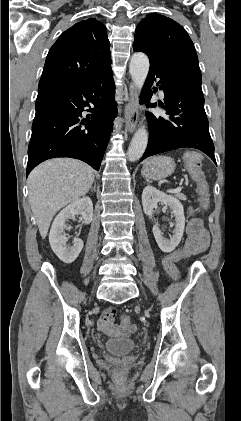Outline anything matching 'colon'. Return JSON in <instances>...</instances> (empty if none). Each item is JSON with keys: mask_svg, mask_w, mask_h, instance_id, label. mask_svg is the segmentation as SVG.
I'll use <instances>...</instances> for the list:
<instances>
[{"mask_svg": "<svg viewBox=\"0 0 241 421\" xmlns=\"http://www.w3.org/2000/svg\"><path fill=\"white\" fill-rule=\"evenodd\" d=\"M202 157L198 152H189L185 157V165L192 177L197 182V193L201 208H205L209 199V185L201 169ZM183 257V251L178 249L168 255L164 260V267L173 279L179 278L176 263ZM122 324H130L131 319L127 314L121 316Z\"/></svg>", "mask_w": 241, "mask_h": 421, "instance_id": "5ec220e1", "label": "colon"}]
</instances>
